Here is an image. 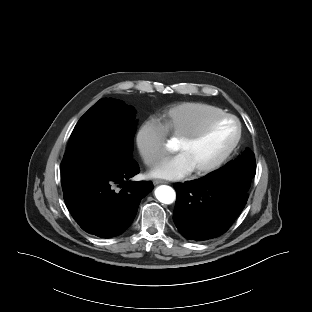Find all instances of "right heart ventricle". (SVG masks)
Listing matches in <instances>:
<instances>
[{
    "label": "right heart ventricle",
    "mask_w": 312,
    "mask_h": 312,
    "mask_svg": "<svg viewBox=\"0 0 312 312\" xmlns=\"http://www.w3.org/2000/svg\"><path fill=\"white\" fill-rule=\"evenodd\" d=\"M225 113L221 108L201 102H182L166 108L159 119L167 133L181 138L198 129L211 117Z\"/></svg>",
    "instance_id": "right-heart-ventricle-1"
}]
</instances>
